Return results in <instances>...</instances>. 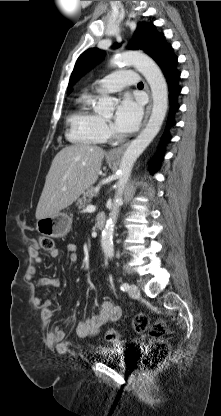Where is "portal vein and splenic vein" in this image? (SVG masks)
Here are the masks:
<instances>
[{"label": "portal vein and splenic vein", "mask_w": 221, "mask_h": 416, "mask_svg": "<svg viewBox=\"0 0 221 416\" xmlns=\"http://www.w3.org/2000/svg\"><path fill=\"white\" fill-rule=\"evenodd\" d=\"M87 212H92L95 210V206L94 205H88L85 209Z\"/></svg>", "instance_id": "obj_1"}]
</instances>
